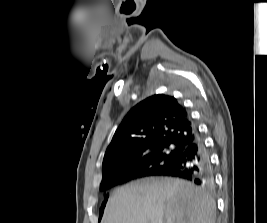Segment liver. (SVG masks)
I'll list each match as a JSON object with an SVG mask.
<instances>
[{"label": "liver", "instance_id": "obj_1", "mask_svg": "<svg viewBox=\"0 0 267 223\" xmlns=\"http://www.w3.org/2000/svg\"><path fill=\"white\" fill-rule=\"evenodd\" d=\"M215 202L203 189L173 178H145L117 188L102 223H215Z\"/></svg>", "mask_w": 267, "mask_h": 223}]
</instances>
